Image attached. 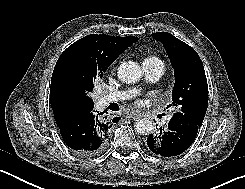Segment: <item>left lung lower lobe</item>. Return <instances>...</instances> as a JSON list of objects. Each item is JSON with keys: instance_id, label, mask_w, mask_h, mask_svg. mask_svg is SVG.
Segmentation results:
<instances>
[{"instance_id": "0a47b994", "label": "left lung lower lobe", "mask_w": 245, "mask_h": 189, "mask_svg": "<svg viewBox=\"0 0 245 189\" xmlns=\"http://www.w3.org/2000/svg\"><path fill=\"white\" fill-rule=\"evenodd\" d=\"M199 126L191 120L172 118L168 129L160 128L157 134L147 138L148 148L155 154L171 157L183 153L193 143Z\"/></svg>"}]
</instances>
